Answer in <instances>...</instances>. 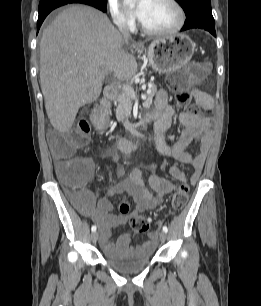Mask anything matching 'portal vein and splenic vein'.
Masks as SVG:
<instances>
[{"instance_id":"portal-vein-and-splenic-vein-1","label":"portal vein and splenic vein","mask_w":261,"mask_h":306,"mask_svg":"<svg viewBox=\"0 0 261 306\" xmlns=\"http://www.w3.org/2000/svg\"><path fill=\"white\" fill-rule=\"evenodd\" d=\"M122 90L126 91L128 94H131L135 97V92L133 90V88L129 85H123L122 86ZM142 99L146 100L144 103L145 107H149L152 103V98H147L146 95H142Z\"/></svg>"}]
</instances>
